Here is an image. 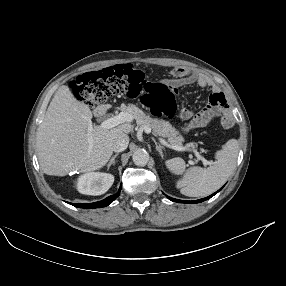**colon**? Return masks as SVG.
Listing matches in <instances>:
<instances>
[{
  "label": "colon",
  "mask_w": 286,
  "mask_h": 286,
  "mask_svg": "<svg viewBox=\"0 0 286 286\" xmlns=\"http://www.w3.org/2000/svg\"><path fill=\"white\" fill-rule=\"evenodd\" d=\"M72 90L88 106L102 104L112 96L126 95L139 96L156 116L173 118L176 112L174 92L167 84L149 81L141 70L127 64L79 75L72 81ZM211 119V116L193 118L182 123L180 131L184 135L201 131ZM225 125L228 123L225 122Z\"/></svg>",
  "instance_id": "colon-1"
}]
</instances>
